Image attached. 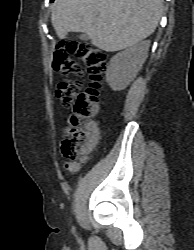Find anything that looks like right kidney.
Returning a JSON list of instances; mask_svg holds the SVG:
<instances>
[{
    "instance_id": "right-kidney-1",
    "label": "right kidney",
    "mask_w": 194,
    "mask_h": 250,
    "mask_svg": "<svg viewBox=\"0 0 194 250\" xmlns=\"http://www.w3.org/2000/svg\"><path fill=\"white\" fill-rule=\"evenodd\" d=\"M149 47L150 41L145 40L111 58L106 70V81L113 91L124 90L136 77L148 56Z\"/></svg>"
}]
</instances>
